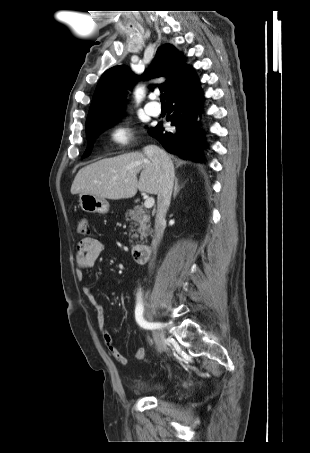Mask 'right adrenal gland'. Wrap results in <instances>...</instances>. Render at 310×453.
<instances>
[{
	"mask_svg": "<svg viewBox=\"0 0 310 453\" xmlns=\"http://www.w3.org/2000/svg\"><path fill=\"white\" fill-rule=\"evenodd\" d=\"M183 188V185L182 186H179V183H178V178L176 177L175 178V185H174V190H173V198L175 199L178 192L180 191V189Z\"/></svg>",
	"mask_w": 310,
	"mask_h": 453,
	"instance_id": "obj_1",
	"label": "right adrenal gland"
}]
</instances>
